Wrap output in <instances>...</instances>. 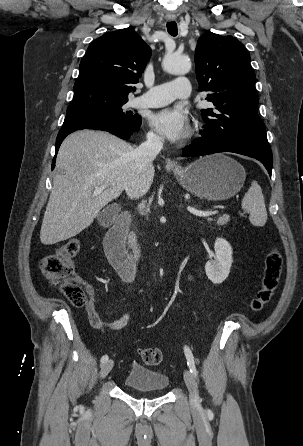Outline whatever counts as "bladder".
I'll return each mask as SVG.
<instances>
[{
	"instance_id": "obj_1",
	"label": "bladder",
	"mask_w": 303,
	"mask_h": 446,
	"mask_svg": "<svg viewBox=\"0 0 303 446\" xmlns=\"http://www.w3.org/2000/svg\"><path fill=\"white\" fill-rule=\"evenodd\" d=\"M124 386L137 392H165L169 385V377L156 370L143 366H133L123 381Z\"/></svg>"
}]
</instances>
